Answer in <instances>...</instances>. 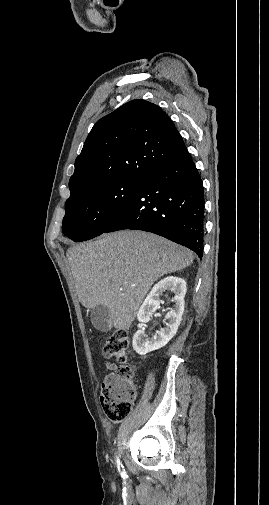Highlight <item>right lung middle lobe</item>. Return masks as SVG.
Masks as SVG:
<instances>
[{
  "label": "right lung middle lobe",
  "mask_w": 269,
  "mask_h": 505,
  "mask_svg": "<svg viewBox=\"0 0 269 505\" xmlns=\"http://www.w3.org/2000/svg\"><path fill=\"white\" fill-rule=\"evenodd\" d=\"M141 181H114L90 187L66 201L62 230L76 242L92 239L111 225Z\"/></svg>",
  "instance_id": "obj_1"
}]
</instances>
